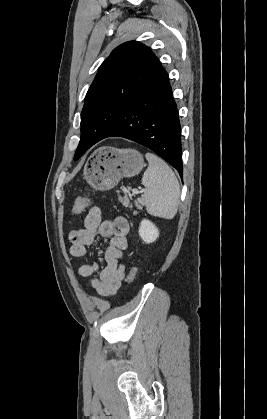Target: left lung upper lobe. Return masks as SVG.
<instances>
[{
	"label": "left lung upper lobe",
	"instance_id": "obj_1",
	"mask_svg": "<svg viewBox=\"0 0 267 419\" xmlns=\"http://www.w3.org/2000/svg\"><path fill=\"white\" fill-rule=\"evenodd\" d=\"M162 68L151 49L140 42H126L112 51L85 96L75 160L88 149L101 124L111 114L125 111Z\"/></svg>",
	"mask_w": 267,
	"mask_h": 419
}]
</instances>
